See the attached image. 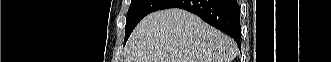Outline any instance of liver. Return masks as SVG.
<instances>
[{
  "label": "liver",
  "instance_id": "1",
  "mask_svg": "<svg viewBox=\"0 0 331 62\" xmlns=\"http://www.w3.org/2000/svg\"><path fill=\"white\" fill-rule=\"evenodd\" d=\"M232 38L185 10L173 8L146 16L132 32L125 62H231Z\"/></svg>",
  "mask_w": 331,
  "mask_h": 62
}]
</instances>
